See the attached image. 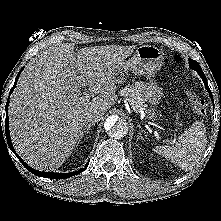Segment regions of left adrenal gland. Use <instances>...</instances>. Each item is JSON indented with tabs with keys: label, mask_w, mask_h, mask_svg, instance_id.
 <instances>
[{
	"label": "left adrenal gland",
	"mask_w": 221,
	"mask_h": 221,
	"mask_svg": "<svg viewBox=\"0 0 221 221\" xmlns=\"http://www.w3.org/2000/svg\"><path fill=\"white\" fill-rule=\"evenodd\" d=\"M139 139L144 140V139H143V136H142V134H141V131H139V133H138V135H137V140H139Z\"/></svg>",
	"instance_id": "a2214340"
}]
</instances>
